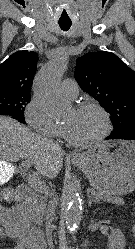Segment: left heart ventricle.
I'll use <instances>...</instances> for the list:
<instances>
[{
  "label": "left heart ventricle",
  "mask_w": 135,
  "mask_h": 249,
  "mask_svg": "<svg viewBox=\"0 0 135 249\" xmlns=\"http://www.w3.org/2000/svg\"><path fill=\"white\" fill-rule=\"evenodd\" d=\"M63 124L75 140L82 142L96 138L104 130L103 117L95 109H72Z\"/></svg>",
  "instance_id": "b2bd125f"
}]
</instances>
